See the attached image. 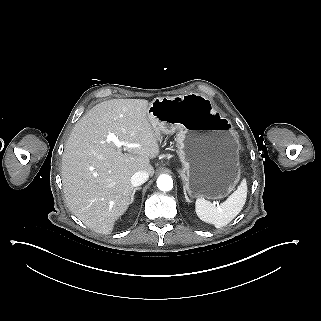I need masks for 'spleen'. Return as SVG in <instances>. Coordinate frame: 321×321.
<instances>
[{"label":"spleen","instance_id":"obj_1","mask_svg":"<svg viewBox=\"0 0 321 321\" xmlns=\"http://www.w3.org/2000/svg\"><path fill=\"white\" fill-rule=\"evenodd\" d=\"M247 198V182L244 178L237 189L219 206L198 198L195 203L197 216L204 222L221 228L229 224L243 209Z\"/></svg>","mask_w":321,"mask_h":321}]
</instances>
